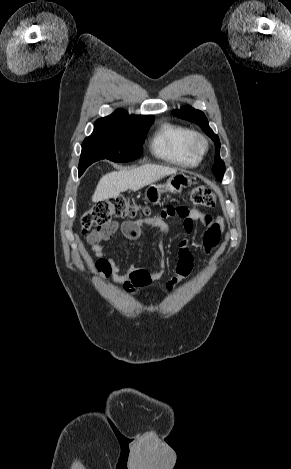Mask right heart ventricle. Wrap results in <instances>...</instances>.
I'll return each mask as SVG.
<instances>
[{"mask_svg": "<svg viewBox=\"0 0 291 469\" xmlns=\"http://www.w3.org/2000/svg\"><path fill=\"white\" fill-rule=\"evenodd\" d=\"M194 134L195 132L187 126L163 122L150 140V152L166 163L185 168L195 167L200 159L189 150V142Z\"/></svg>", "mask_w": 291, "mask_h": 469, "instance_id": "right-heart-ventricle-1", "label": "right heart ventricle"}]
</instances>
